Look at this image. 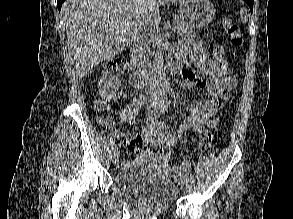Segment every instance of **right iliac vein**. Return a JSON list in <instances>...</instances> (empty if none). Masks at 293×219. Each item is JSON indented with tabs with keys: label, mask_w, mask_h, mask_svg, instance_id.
<instances>
[{
	"label": "right iliac vein",
	"mask_w": 293,
	"mask_h": 219,
	"mask_svg": "<svg viewBox=\"0 0 293 219\" xmlns=\"http://www.w3.org/2000/svg\"><path fill=\"white\" fill-rule=\"evenodd\" d=\"M156 106H158V103L156 102H150L148 105H147V110H148V113L152 112L153 109L156 108ZM119 155H120V152L119 150H116L112 153V162L113 163H116L119 159Z\"/></svg>",
	"instance_id": "63e3f726"
}]
</instances>
